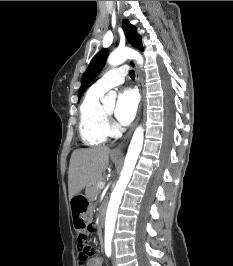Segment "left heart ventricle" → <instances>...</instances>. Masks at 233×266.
Instances as JSON below:
<instances>
[{"label": "left heart ventricle", "mask_w": 233, "mask_h": 266, "mask_svg": "<svg viewBox=\"0 0 233 266\" xmlns=\"http://www.w3.org/2000/svg\"><path fill=\"white\" fill-rule=\"evenodd\" d=\"M114 108H115V105L114 104H110V105H107L105 107V109L109 112V113H112L114 111Z\"/></svg>", "instance_id": "obj_1"}]
</instances>
